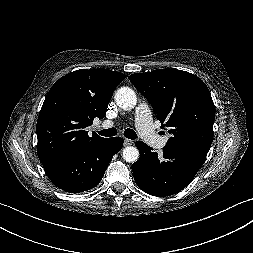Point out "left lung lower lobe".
Segmentation results:
<instances>
[{"label":"left lung lower lobe","mask_w":253,"mask_h":253,"mask_svg":"<svg viewBox=\"0 0 253 253\" xmlns=\"http://www.w3.org/2000/svg\"><path fill=\"white\" fill-rule=\"evenodd\" d=\"M139 160L132 170L136 184L153 196H168L183 190L203 165L207 152L188 149L174 152L163 148V158L147 144L137 141Z\"/></svg>","instance_id":"0a47b994"}]
</instances>
